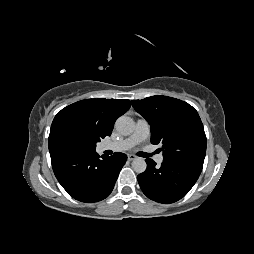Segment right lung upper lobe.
<instances>
[{
    "instance_id": "cb5924a9",
    "label": "right lung upper lobe",
    "mask_w": 254,
    "mask_h": 254,
    "mask_svg": "<svg viewBox=\"0 0 254 254\" xmlns=\"http://www.w3.org/2000/svg\"><path fill=\"white\" fill-rule=\"evenodd\" d=\"M128 99H86L73 103L58 112L52 122L49 134L50 154L63 149L93 152L94 144L110 136L118 117L128 111ZM73 132H79L82 139H71Z\"/></svg>"
}]
</instances>
